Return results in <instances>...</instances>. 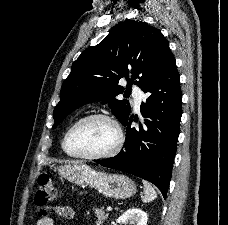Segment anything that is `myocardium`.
Instances as JSON below:
<instances>
[{
  "label": "myocardium",
  "instance_id": "myocardium-1",
  "mask_svg": "<svg viewBox=\"0 0 228 225\" xmlns=\"http://www.w3.org/2000/svg\"><path fill=\"white\" fill-rule=\"evenodd\" d=\"M89 119H101L107 123H109L114 131H115V135H116V142L114 144V146L108 150L105 153L102 154H96V155H87V154H74L71 153L68 150V138L69 135L72 133V131L78 126L80 125L82 122L89 120ZM124 144V138H123V133H122V129L119 125V123L113 119L112 117L106 115V114H102V113H91V114H86L80 118H78L65 132L64 136H63V141H62V145H63V150L64 152L72 158H78V159H85V160H101V159H106V158H110L114 155H116L118 152H120V150L122 149Z\"/></svg>",
  "mask_w": 228,
  "mask_h": 225
}]
</instances>
